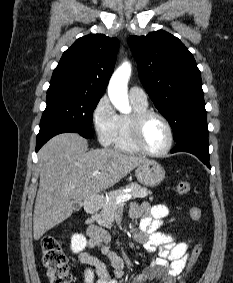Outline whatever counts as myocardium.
<instances>
[{
	"label": "myocardium",
	"instance_id": "obj_1",
	"mask_svg": "<svg viewBox=\"0 0 233 283\" xmlns=\"http://www.w3.org/2000/svg\"><path fill=\"white\" fill-rule=\"evenodd\" d=\"M152 118L160 119L168 130L169 141H168L167 146L161 151L149 150L145 146L144 141H143V132H144L145 125ZM130 128H131V138H132L133 144L140 152L146 155L162 156V155L167 154L173 146V143H174L173 128L170 122L168 121V119L159 112H156L153 110H146L143 112L135 113L131 118Z\"/></svg>",
	"mask_w": 233,
	"mask_h": 283
}]
</instances>
